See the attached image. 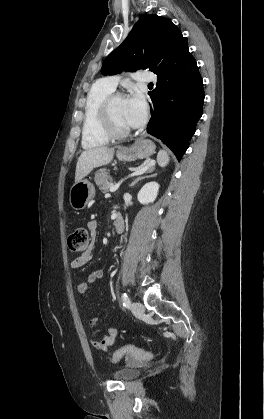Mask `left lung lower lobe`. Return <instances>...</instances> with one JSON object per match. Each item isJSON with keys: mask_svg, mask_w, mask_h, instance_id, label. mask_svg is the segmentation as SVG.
Instances as JSON below:
<instances>
[{"mask_svg": "<svg viewBox=\"0 0 264 419\" xmlns=\"http://www.w3.org/2000/svg\"><path fill=\"white\" fill-rule=\"evenodd\" d=\"M155 74L147 132L161 139L180 160L196 131L204 102L203 81L182 34L164 50Z\"/></svg>", "mask_w": 264, "mask_h": 419, "instance_id": "1", "label": "left lung lower lobe"}]
</instances>
